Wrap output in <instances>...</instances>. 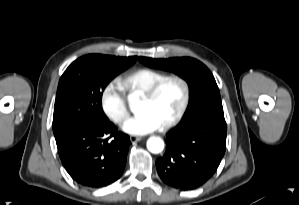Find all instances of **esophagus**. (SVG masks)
Returning a JSON list of instances; mask_svg holds the SVG:
<instances>
[{"instance_id":"obj_1","label":"esophagus","mask_w":299,"mask_h":205,"mask_svg":"<svg viewBox=\"0 0 299 205\" xmlns=\"http://www.w3.org/2000/svg\"><path fill=\"white\" fill-rule=\"evenodd\" d=\"M140 140H142V137L134 136V135H131V136H130V141H131L132 143H134V142H138V141H140Z\"/></svg>"}]
</instances>
